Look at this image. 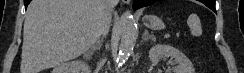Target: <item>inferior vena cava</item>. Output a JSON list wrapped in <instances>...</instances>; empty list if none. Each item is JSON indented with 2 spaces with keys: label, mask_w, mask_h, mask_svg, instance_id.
<instances>
[{
  "label": "inferior vena cava",
  "mask_w": 244,
  "mask_h": 73,
  "mask_svg": "<svg viewBox=\"0 0 244 73\" xmlns=\"http://www.w3.org/2000/svg\"><path fill=\"white\" fill-rule=\"evenodd\" d=\"M116 4V0H101V31L100 35H106L111 22V12Z\"/></svg>",
  "instance_id": "obj_1"
}]
</instances>
